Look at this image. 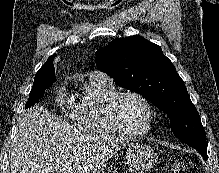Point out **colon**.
<instances>
[{"label": "colon", "instance_id": "obj_1", "mask_svg": "<svg viewBox=\"0 0 219 173\" xmlns=\"http://www.w3.org/2000/svg\"><path fill=\"white\" fill-rule=\"evenodd\" d=\"M171 170L172 173H186V166L183 162H174Z\"/></svg>", "mask_w": 219, "mask_h": 173}]
</instances>
